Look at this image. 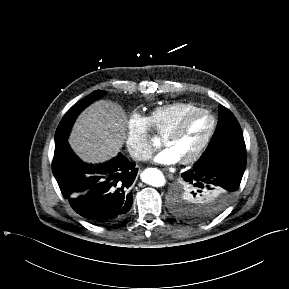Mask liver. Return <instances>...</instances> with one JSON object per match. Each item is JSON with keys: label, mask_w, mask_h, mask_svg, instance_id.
Listing matches in <instances>:
<instances>
[{"label": "liver", "mask_w": 289, "mask_h": 289, "mask_svg": "<svg viewBox=\"0 0 289 289\" xmlns=\"http://www.w3.org/2000/svg\"><path fill=\"white\" fill-rule=\"evenodd\" d=\"M126 128L125 111L116 103L99 100L79 115L68 141L84 162L102 163L120 152Z\"/></svg>", "instance_id": "liver-1"}]
</instances>
